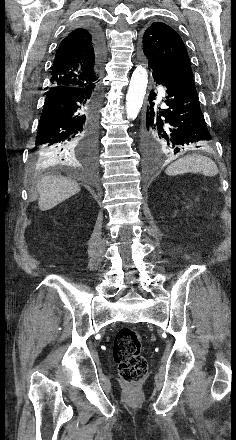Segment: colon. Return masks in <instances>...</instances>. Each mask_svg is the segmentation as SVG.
<instances>
[{"mask_svg":"<svg viewBox=\"0 0 236 440\" xmlns=\"http://www.w3.org/2000/svg\"><path fill=\"white\" fill-rule=\"evenodd\" d=\"M142 338L134 329L124 327L118 330L113 344L115 362L124 382L137 383L147 374V361L141 354Z\"/></svg>","mask_w":236,"mask_h":440,"instance_id":"colon-1","label":"colon"}]
</instances>
